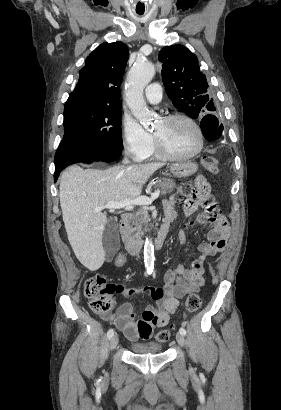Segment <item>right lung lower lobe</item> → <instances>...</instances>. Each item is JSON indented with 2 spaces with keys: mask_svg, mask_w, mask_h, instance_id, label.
I'll return each mask as SVG.
<instances>
[{
  "mask_svg": "<svg viewBox=\"0 0 281 410\" xmlns=\"http://www.w3.org/2000/svg\"><path fill=\"white\" fill-rule=\"evenodd\" d=\"M121 156V150L91 149L69 152L55 160L54 180L56 181L60 172L68 165L85 162H112Z\"/></svg>",
  "mask_w": 281,
  "mask_h": 410,
  "instance_id": "1",
  "label": "right lung lower lobe"
}]
</instances>
